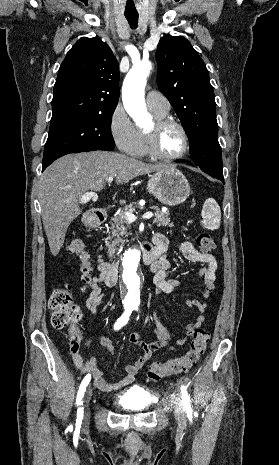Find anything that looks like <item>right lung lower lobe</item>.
I'll use <instances>...</instances> for the list:
<instances>
[{"label": "right lung lower lobe", "instance_id": "1", "mask_svg": "<svg viewBox=\"0 0 279 465\" xmlns=\"http://www.w3.org/2000/svg\"><path fill=\"white\" fill-rule=\"evenodd\" d=\"M94 150H113V148H109V147H106V146H101V145H97V146H88L84 149V151L88 152V151H94ZM48 165L44 166L42 165V171L45 170V168L47 167Z\"/></svg>", "mask_w": 279, "mask_h": 465}]
</instances>
